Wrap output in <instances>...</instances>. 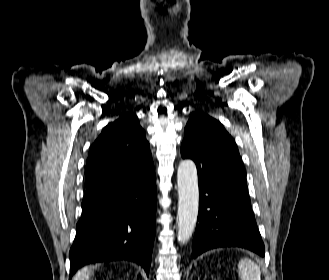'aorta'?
<instances>
[{"label":"aorta","instance_id":"1","mask_svg":"<svg viewBox=\"0 0 329 280\" xmlns=\"http://www.w3.org/2000/svg\"><path fill=\"white\" fill-rule=\"evenodd\" d=\"M177 184V238L181 244H185L191 238L196 227L199 207L197 168L192 160L186 159L180 162L177 171Z\"/></svg>","mask_w":329,"mask_h":280}]
</instances>
